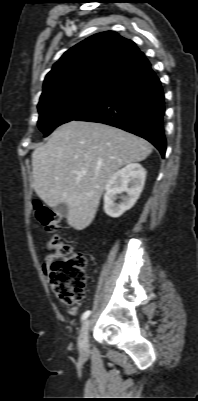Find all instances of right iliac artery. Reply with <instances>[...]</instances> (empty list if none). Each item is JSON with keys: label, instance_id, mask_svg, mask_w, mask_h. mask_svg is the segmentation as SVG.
I'll return each instance as SVG.
<instances>
[{"label": "right iliac artery", "instance_id": "right-iliac-artery-1", "mask_svg": "<svg viewBox=\"0 0 198 401\" xmlns=\"http://www.w3.org/2000/svg\"><path fill=\"white\" fill-rule=\"evenodd\" d=\"M90 314H91V311H90V310L85 311V312L83 313V315H82V320H85Z\"/></svg>", "mask_w": 198, "mask_h": 401}]
</instances>
